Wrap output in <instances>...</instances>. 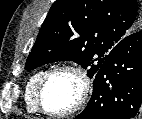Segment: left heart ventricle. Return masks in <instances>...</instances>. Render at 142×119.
Returning a JSON list of instances; mask_svg holds the SVG:
<instances>
[{
  "mask_svg": "<svg viewBox=\"0 0 142 119\" xmlns=\"http://www.w3.org/2000/svg\"><path fill=\"white\" fill-rule=\"evenodd\" d=\"M80 83L70 72L54 75L48 82L44 94V105L48 110L61 112L71 108L77 101Z\"/></svg>",
  "mask_w": 142,
  "mask_h": 119,
  "instance_id": "left-heart-ventricle-1",
  "label": "left heart ventricle"
}]
</instances>
